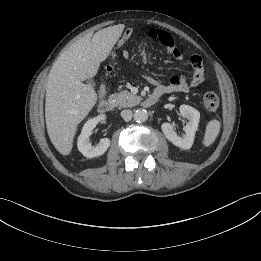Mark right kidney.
<instances>
[{
  "mask_svg": "<svg viewBox=\"0 0 261 261\" xmlns=\"http://www.w3.org/2000/svg\"><path fill=\"white\" fill-rule=\"evenodd\" d=\"M105 119L106 115H98L97 117L88 120L82 128L81 134L78 137L77 147L78 150L87 158H94L103 155L110 146L111 142L108 138L101 139L99 144L96 146H93L89 139L98 122L105 121Z\"/></svg>",
  "mask_w": 261,
  "mask_h": 261,
  "instance_id": "ca27d5eb",
  "label": "right kidney"
}]
</instances>
